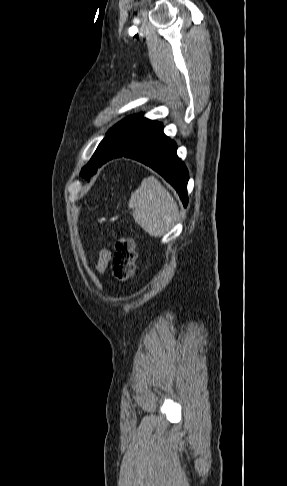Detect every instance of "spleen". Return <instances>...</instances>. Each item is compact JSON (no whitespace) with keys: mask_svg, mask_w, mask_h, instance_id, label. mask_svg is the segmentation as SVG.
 <instances>
[{"mask_svg":"<svg viewBox=\"0 0 287 486\" xmlns=\"http://www.w3.org/2000/svg\"><path fill=\"white\" fill-rule=\"evenodd\" d=\"M128 206L133 209L135 222L153 237L166 234L179 216L176 201L154 176L142 180L132 193Z\"/></svg>","mask_w":287,"mask_h":486,"instance_id":"spleen-1","label":"spleen"}]
</instances>
